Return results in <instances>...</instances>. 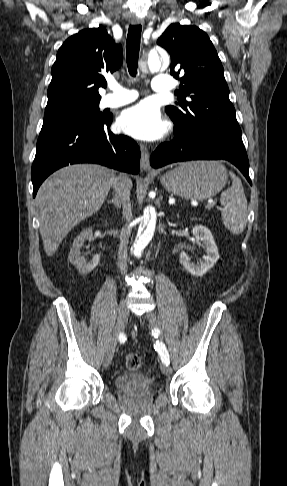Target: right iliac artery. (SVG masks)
Instances as JSON below:
<instances>
[{"label":"right iliac artery","instance_id":"82829eb1","mask_svg":"<svg viewBox=\"0 0 287 486\" xmlns=\"http://www.w3.org/2000/svg\"><path fill=\"white\" fill-rule=\"evenodd\" d=\"M119 340H125V335L123 333H120L119 334Z\"/></svg>","mask_w":287,"mask_h":486}]
</instances>
